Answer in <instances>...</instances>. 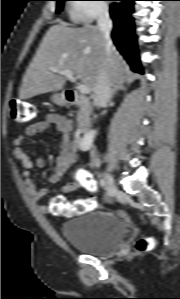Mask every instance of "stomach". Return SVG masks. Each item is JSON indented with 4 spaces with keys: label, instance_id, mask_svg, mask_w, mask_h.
<instances>
[{
    "label": "stomach",
    "instance_id": "obj_1",
    "mask_svg": "<svg viewBox=\"0 0 180 299\" xmlns=\"http://www.w3.org/2000/svg\"><path fill=\"white\" fill-rule=\"evenodd\" d=\"M53 103L59 106H64L68 103L64 93H56L51 96Z\"/></svg>",
    "mask_w": 180,
    "mask_h": 299
}]
</instances>
